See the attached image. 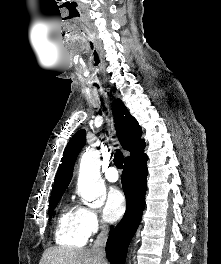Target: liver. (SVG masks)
I'll return each instance as SVG.
<instances>
[{
	"label": "liver",
	"mask_w": 221,
	"mask_h": 264,
	"mask_svg": "<svg viewBox=\"0 0 221 264\" xmlns=\"http://www.w3.org/2000/svg\"><path fill=\"white\" fill-rule=\"evenodd\" d=\"M39 264H108L99 258L92 249L50 247L46 249Z\"/></svg>",
	"instance_id": "1"
}]
</instances>
